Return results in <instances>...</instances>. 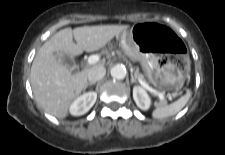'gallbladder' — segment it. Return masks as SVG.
Instances as JSON below:
<instances>
[{
  "label": "gallbladder",
  "instance_id": "obj_1",
  "mask_svg": "<svg viewBox=\"0 0 225 155\" xmlns=\"http://www.w3.org/2000/svg\"><path fill=\"white\" fill-rule=\"evenodd\" d=\"M54 55L62 64L67 66V68L69 70H71V71L77 70V66H76V62H75L74 58L69 57L68 55H66L63 52H55Z\"/></svg>",
  "mask_w": 225,
  "mask_h": 155
}]
</instances>
